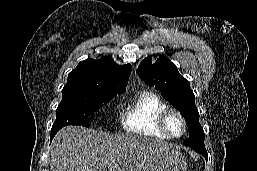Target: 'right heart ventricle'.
<instances>
[{
    "instance_id": "right-heart-ventricle-1",
    "label": "right heart ventricle",
    "mask_w": 257,
    "mask_h": 171,
    "mask_svg": "<svg viewBox=\"0 0 257 171\" xmlns=\"http://www.w3.org/2000/svg\"><path fill=\"white\" fill-rule=\"evenodd\" d=\"M168 107L156 92L144 90L127 104L122 115V126L130 133L169 139L158 125L160 114Z\"/></svg>"
}]
</instances>
